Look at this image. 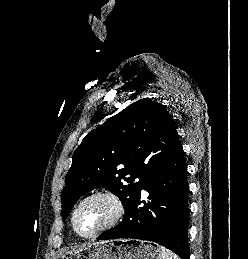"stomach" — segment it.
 <instances>
[{"label":"stomach","mask_w":248,"mask_h":259,"mask_svg":"<svg viewBox=\"0 0 248 259\" xmlns=\"http://www.w3.org/2000/svg\"><path fill=\"white\" fill-rule=\"evenodd\" d=\"M63 259H162L161 247L136 239L90 244L64 255Z\"/></svg>","instance_id":"1"}]
</instances>
